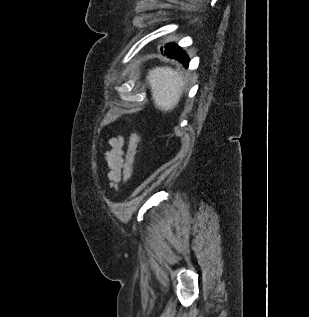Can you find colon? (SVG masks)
Segmentation results:
<instances>
[{"label":"colon","mask_w":309,"mask_h":317,"mask_svg":"<svg viewBox=\"0 0 309 317\" xmlns=\"http://www.w3.org/2000/svg\"><path fill=\"white\" fill-rule=\"evenodd\" d=\"M139 142L140 137L137 133H134L130 136L125 162L123 166V178L126 182L130 180L133 173L134 160L139 146Z\"/></svg>","instance_id":"obj_1"}]
</instances>
